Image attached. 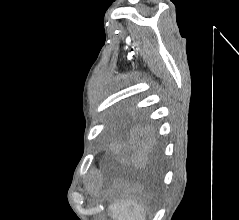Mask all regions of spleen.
Returning <instances> with one entry per match:
<instances>
[{
    "label": "spleen",
    "instance_id": "3e777b00",
    "mask_svg": "<svg viewBox=\"0 0 239 220\" xmlns=\"http://www.w3.org/2000/svg\"><path fill=\"white\" fill-rule=\"evenodd\" d=\"M111 217L116 220H146L144 206L135 200L126 199L115 201L109 206Z\"/></svg>",
    "mask_w": 239,
    "mask_h": 220
}]
</instances>
